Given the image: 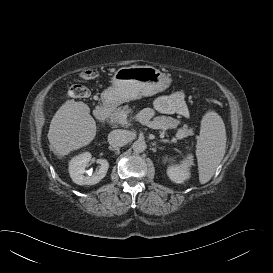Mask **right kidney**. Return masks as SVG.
Listing matches in <instances>:
<instances>
[{
  "label": "right kidney",
  "mask_w": 273,
  "mask_h": 273,
  "mask_svg": "<svg viewBox=\"0 0 273 273\" xmlns=\"http://www.w3.org/2000/svg\"><path fill=\"white\" fill-rule=\"evenodd\" d=\"M91 158V153L85 152L71 159L69 162V174L74 183L78 185H94L106 176L109 168V163L106 159L97 160L100 164L98 171L93 173L92 171L85 170Z\"/></svg>",
  "instance_id": "1"
}]
</instances>
